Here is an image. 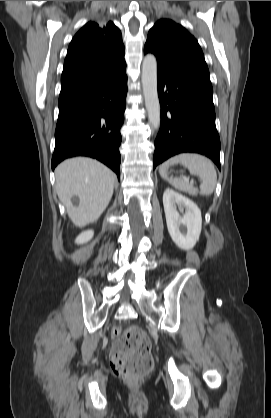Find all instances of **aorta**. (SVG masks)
Here are the masks:
<instances>
[{
    "label": "aorta",
    "instance_id": "1",
    "mask_svg": "<svg viewBox=\"0 0 271 418\" xmlns=\"http://www.w3.org/2000/svg\"><path fill=\"white\" fill-rule=\"evenodd\" d=\"M141 81L148 120L151 126L158 130L161 123V108L157 90V60L153 54L144 57Z\"/></svg>",
    "mask_w": 271,
    "mask_h": 418
}]
</instances>
